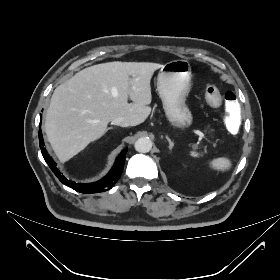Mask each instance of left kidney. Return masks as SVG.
I'll return each mask as SVG.
<instances>
[{
  "mask_svg": "<svg viewBox=\"0 0 280 280\" xmlns=\"http://www.w3.org/2000/svg\"><path fill=\"white\" fill-rule=\"evenodd\" d=\"M191 156H193V157H197L198 156V153L196 152V151H191Z\"/></svg>",
  "mask_w": 280,
  "mask_h": 280,
  "instance_id": "1",
  "label": "left kidney"
}]
</instances>
